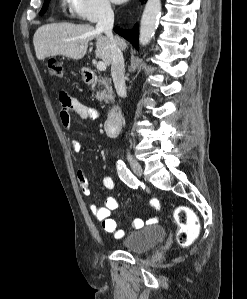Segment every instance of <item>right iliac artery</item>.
<instances>
[{"label": "right iliac artery", "instance_id": "1", "mask_svg": "<svg viewBox=\"0 0 247 299\" xmlns=\"http://www.w3.org/2000/svg\"><path fill=\"white\" fill-rule=\"evenodd\" d=\"M118 175L120 179L129 187L135 189L138 187V180L126 167L125 163L121 160L118 161Z\"/></svg>", "mask_w": 247, "mask_h": 299}]
</instances>
